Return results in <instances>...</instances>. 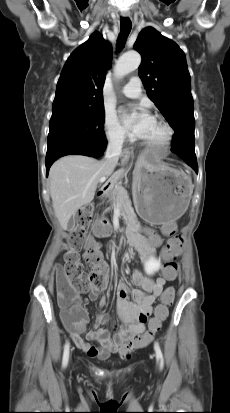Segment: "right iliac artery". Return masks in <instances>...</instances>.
Masks as SVG:
<instances>
[{"label":"right iliac artery","instance_id":"obj_1","mask_svg":"<svg viewBox=\"0 0 230 413\" xmlns=\"http://www.w3.org/2000/svg\"><path fill=\"white\" fill-rule=\"evenodd\" d=\"M69 342H66L64 346V352H63V360H62V366L66 367L68 364V359H69Z\"/></svg>","mask_w":230,"mask_h":413}]
</instances>
